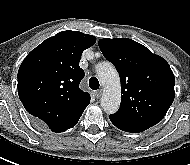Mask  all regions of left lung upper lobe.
Wrapping results in <instances>:
<instances>
[{
    "instance_id": "5c2ea615",
    "label": "left lung upper lobe",
    "mask_w": 190,
    "mask_h": 165,
    "mask_svg": "<svg viewBox=\"0 0 190 165\" xmlns=\"http://www.w3.org/2000/svg\"><path fill=\"white\" fill-rule=\"evenodd\" d=\"M98 44L121 80L120 108L110 116L135 126L156 125L175 96V77L169 64L131 39H100Z\"/></svg>"
}]
</instances>
